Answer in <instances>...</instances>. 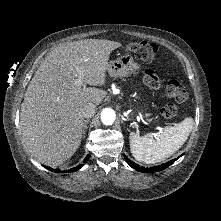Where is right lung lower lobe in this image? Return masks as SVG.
<instances>
[{
	"label": "right lung lower lobe",
	"mask_w": 221,
	"mask_h": 221,
	"mask_svg": "<svg viewBox=\"0 0 221 221\" xmlns=\"http://www.w3.org/2000/svg\"><path fill=\"white\" fill-rule=\"evenodd\" d=\"M89 156H90V155H87V156L85 157V159H84V161H83V164H80V165H78L77 167H75V168H73V169L65 170L64 172L67 173V172H73V171L79 170L81 167L84 166V163H86V162L88 161ZM45 168H47V169L50 170V171H54V172H56V173L59 172L58 169H52V168H50V167H45Z\"/></svg>",
	"instance_id": "1"
}]
</instances>
